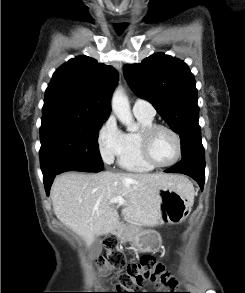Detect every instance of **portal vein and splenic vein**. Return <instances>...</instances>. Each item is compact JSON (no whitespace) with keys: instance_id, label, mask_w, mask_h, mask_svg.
Listing matches in <instances>:
<instances>
[{"instance_id":"portal-vein-and-splenic-vein-1","label":"portal vein and splenic vein","mask_w":245,"mask_h":293,"mask_svg":"<svg viewBox=\"0 0 245 293\" xmlns=\"http://www.w3.org/2000/svg\"><path fill=\"white\" fill-rule=\"evenodd\" d=\"M111 204L118 203L119 205H124L126 204L125 200L122 197H116L110 200Z\"/></svg>"}]
</instances>
